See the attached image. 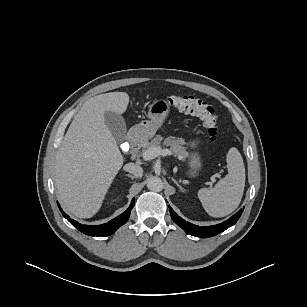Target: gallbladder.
<instances>
[{
    "label": "gallbladder",
    "mask_w": 307,
    "mask_h": 307,
    "mask_svg": "<svg viewBox=\"0 0 307 307\" xmlns=\"http://www.w3.org/2000/svg\"><path fill=\"white\" fill-rule=\"evenodd\" d=\"M105 124L107 128L110 130L114 138L118 142H123L126 140V123L124 118L117 113L106 111L104 114Z\"/></svg>",
    "instance_id": "1"
}]
</instances>
